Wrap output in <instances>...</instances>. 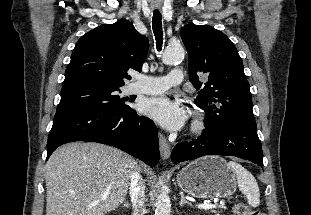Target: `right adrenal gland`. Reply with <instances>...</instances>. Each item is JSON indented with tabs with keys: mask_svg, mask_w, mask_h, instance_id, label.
Here are the masks:
<instances>
[{
	"mask_svg": "<svg viewBox=\"0 0 311 215\" xmlns=\"http://www.w3.org/2000/svg\"><path fill=\"white\" fill-rule=\"evenodd\" d=\"M124 205L128 207L130 204L129 203H125Z\"/></svg>",
	"mask_w": 311,
	"mask_h": 215,
	"instance_id": "right-adrenal-gland-1",
	"label": "right adrenal gland"
}]
</instances>
